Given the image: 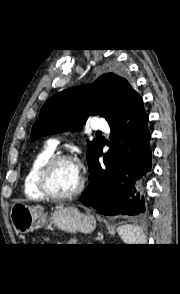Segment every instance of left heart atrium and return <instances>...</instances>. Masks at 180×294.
<instances>
[{
    "mask_svg": "<svg viewBox=\"0 0 180 294\" xmlns=\"http://www.w3.org/2000/svg\"><path fill=\"white\" fill-rule=\"evenodd\" d=\"M75 165H76V168H77L78 172L80 173V169H81L80 164H75Z\"/></svg>",
    "mask_w": 180,
    "mask_h": 294,
    "instance_id": "1",
    "label": "left heart atrium"
}]
</instances>
